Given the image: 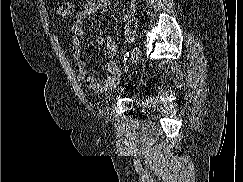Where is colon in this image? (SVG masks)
Segmentation results:
<instances>
[{
    "label": "colon",
    "instance_id": "colon-1",
    "mask_svg": "<svg viewBox=\"0 0 243 182\" xmlns=\"http://www.w3.org/2000/svg\"><path fill=\"white\" fill-rule=\"evenodd\" d=\"M57 12L62 17H68L73 13V4L70 1H63L57 4Z\"/></svg>",
    "mask_w": 243,
    "mask_h": 182
}]
</instances>
